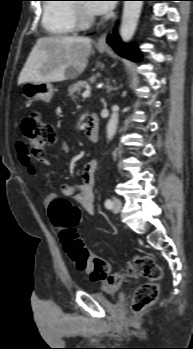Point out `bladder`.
<instances>
[{
	"label": "bladder",
	"instance_id": "1",
	"mask_svg": "<svg viewBox=\"0 0 193 349\" xmlns=\"http://www.w3.org/2000/svg\"><path fill=\"white\" fill-rule=\"evenodd\" d=\"M92 297H94L98 302H107L110 300V296L116 297L115 293L108 294L105 291L91 292Z\"/></svg>",
	"mask_w": 193,
	"mask_h": 349
}]
</instances>
